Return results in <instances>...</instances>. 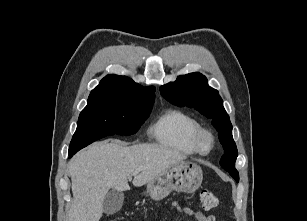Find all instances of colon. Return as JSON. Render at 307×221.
Here are the masks:
<instances>
[{"instance_id": "obj_1", "label": "colon", "mask_w": 307, "mask_h": 221, "mask_svg": "<svg viewBox=\"0 0 307 221\" xmlns=\"http://www.w3.org/2000/svg\"><path fill=\"white\" fill-rule=\"evenodd\" d=\"M200 202L204 209H216L220 205L218 197L208 189H201L200 191Z\"/></svg>"}]
</instances>
